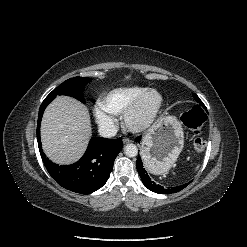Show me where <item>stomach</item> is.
Segmentation results:
<instances>
[{
  "instance_id": "stomach-1",
  "label": "stomach",
  "mask_w": 247,
  "mask_h": 247,
  "mask_svg": "<svg viewBox=\"0 0 247 247\" xmlns=\"http://www.w3.org/2000/svg\"><path fill=\"white\" fill-rule=\"evenodd\" d=\"M184 146L181 123L174 116L161 118L143 136L141 157L153 174L167 173L177 161Z\"/></svg>"
}]
</instances>
